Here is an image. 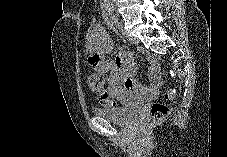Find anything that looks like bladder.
Returning <instances> with one entry per match:
<instances>
[{
  "label": "bladder",
  "instance_id": "1",
  "mask_svg": "<svg viewBox=\"0 0 227 157\" xmlns=\"http://www.w3.org/2000/svg\"><path fill=\"white\" fill-rule=\"evenodd\" d=\"M93 113L97 117L125 126L140 118L143 106L138 103H130L117 107H96L93 109Z\"/></svg>",
  "mask_w": 227,
  "mask_h": 157
}]
</instances>
